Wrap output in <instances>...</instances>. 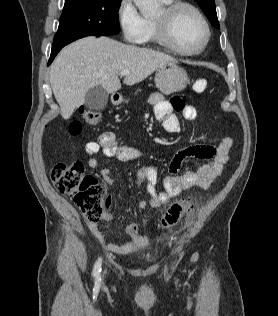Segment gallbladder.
Instances as JSON below:
<instances>
[{"instance_id":"bac80fb5","label":"gallbladder","mask_w":278,"mask_h":316,"mask_svg":"<svg viewBox=\"0 0 278 316\" xmlns=\"http://www.w3.org/2000/svg\"><path fill=\"white\" fill-rule=\"evenodd\" d=\"M109 94L100 85L89 89L85 95V107L92 111H99L106 107Z\"/></svg>"}]
</instances>
